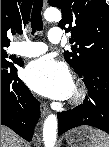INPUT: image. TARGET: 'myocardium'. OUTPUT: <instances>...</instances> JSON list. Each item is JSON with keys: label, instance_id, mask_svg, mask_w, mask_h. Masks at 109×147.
I'll list each match as a JSON object with an SVG mask.
<instances>
[{"label": "myocardium", "instance_id": "myocardium-1", "mask_svg": "<svg viewBox=\"0 0 109 147\" xmlns=\"http://www.w3.org/2000/svg\"><path fill=\"white\" fill-rule=\"evenodd\" d=\"M87 97V88L82 80L77 79L73 84V92L70 97V104L78 106L82 104Z\"/></svg>", "mask_w": 109, "mask_h": 147}]
</instances>
